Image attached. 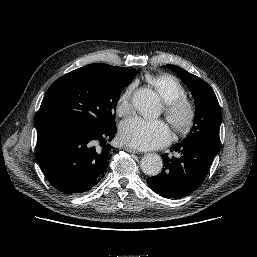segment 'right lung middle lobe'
I'll list each match as a JSON object with an SVG mask.
<instances>
[{"label":"right lung middle lobe","mask_w":257,"mask_h":257,"mask_svg":"<svg viewBox=\"0 0 257 257\" xmlns=\"http://www.w3.org/2000/svg\"><path fill=\"white\" fill-rule=\"evenodd\" d=\"M136 74L135 69L103 63L65 74L46 92L37 126L55 121H74L99 130L114 126L120 94Z\"/></svg>","instance_id":"1"}]
</instances>
